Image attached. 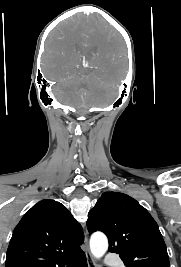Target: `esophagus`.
<instances>
[{
    "instance_id": "34e87169",
    "label": "esophagus",
    "mask_w": 181,
    "mask_h": 267,
    "mask_svg": "<svg viewBox=\"0 0 181 267\" xmlns=\"http://www.w3.org/2000/svg\"><path fill=\"white\" fill-rule=\"evenodd\" d=\"M84 244H85V254H86V259H87V264H88V267H96V264H95V261L89 251V248H88V237H87V233L85 234V241H84Z\"/></svg>"
}]
</instances>
